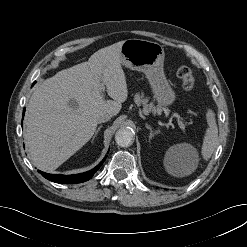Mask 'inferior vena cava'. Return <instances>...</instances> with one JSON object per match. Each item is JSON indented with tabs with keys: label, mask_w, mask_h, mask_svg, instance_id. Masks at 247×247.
Listing matches in <instances>:
<instances>
[{
	"label": "inferior vena cava",
	"mask_w": 247,
	"mask_h": 247,
	"mask_svg": "<svg viewBox=\"0 0 247 247\" xmlns=\"http://www.w3.org/2000/svg\"><path fill=\"white\" fill-rule=\"evenodd\" d=\"M112 115L110 114H101L98 117V123H103V122H107L111 119Z\"/></svg>",
	"instance_id": "inferior-vena-cava-1"
}]
</instances>
